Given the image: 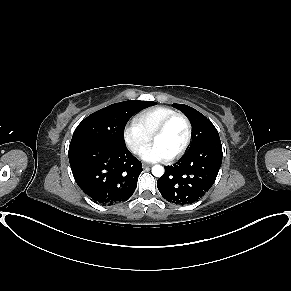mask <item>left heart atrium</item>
<instances>
[{
    "label": "left heart atrium",
    "instance_id": "left-heart-atrium-1",
    "mask_svg": "<svg viewBox=\"0 0 291 291\" xmlns=\"http://www.w3.org/2000/svg\"><path fill=\"white\" fill-rule=\"evenodd\" d=\"M140 156L142 159L149 162L166 161L171 158L159 144L153 143L140 151Z\"/></svg>",
    "mask_w": 291,
    "mask_h": 291
}]
</instances>
